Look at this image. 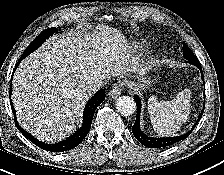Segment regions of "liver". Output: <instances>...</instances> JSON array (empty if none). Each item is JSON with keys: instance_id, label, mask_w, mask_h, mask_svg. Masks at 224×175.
<instances>
[{"instance_id": "1", "label": "liver", "mask_w": 224, "mask_h": 175, "mask_svg": "<svg viewBox=\"0 0 224 175\" xmlns=\"http://www.w3.org/2000/svg\"><path fill=\"white\" fill-rule=\"evenodd\" d=\"M130 53L125 36L108 25L85 34L55 35L26 57L14 74L12 102L19 124L41 141L66 138L89 98L84 87L135 71Z\"/></svg>"}]
</instances>
